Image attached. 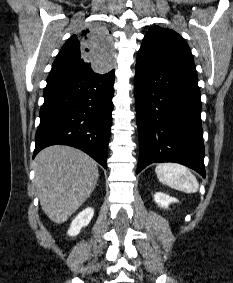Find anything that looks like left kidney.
Listing matches in <instances>:
<instances>
[{"label": "left kidney", "mask_w": 233, "mask_h": 283, "mask_svg": "<svg viewBox=\"0 0 233 283\" xmlns=\"http://www.w3.org/2000/svg\"><path fill=\"white\" fill-rule=\"evenodd\" d=\"M154 201L161 208H168L169 204L177 202V199L172 198L167 194L158 192L154 195Z\"/></svg>", "instance_id": "5707ae66"}]
</instances>
